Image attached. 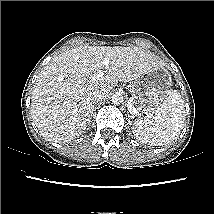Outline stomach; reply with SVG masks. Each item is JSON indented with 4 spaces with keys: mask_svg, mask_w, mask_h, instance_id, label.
<instances>
[{
    "mask_svg": "<svg viewBox=\"0 0 214 214\" xmlns=\"http://www.w3.org/2000/svg\"><path fill=\"white\" fill-rule=\"evenodd\" d=\"M171 74L164 65L154 67L136 79L130 88L132 108L130 113H153L171 93Z\"/></svg>",
    "mask_w": 214,
    "mask_h": 214,
    "instance_id": "obj_1",
    "label": "stomach"
}]
</instances>
